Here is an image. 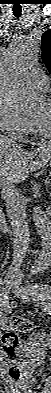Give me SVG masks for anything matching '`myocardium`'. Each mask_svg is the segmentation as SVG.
<instances>
[{"instance_id":"obj_1","label":"myocardium","mask_w":51,"mask_h":393,"mask_svg":"<svg viewBox=\"0 0 51 393\" xmlns=\"http://www.w3.org/2000/svg\"><path fill=\"white\" fill-rule=\"evenodd\" d=\"M46 102H47L48 104L51 105V97L47 98V99H46ZM34 123H35V126L38 128L40 134H41L43 137L48 138V137L51 136V131L48 130V129H46V128L44 127V125H43L39 120H36V119H35V120H34Z\"/></svg>"}]
</instances>
